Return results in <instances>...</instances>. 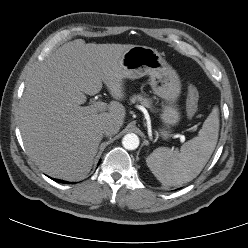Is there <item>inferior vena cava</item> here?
<instances>
[{
    "label": "inferior vena cava",
    "instance_id": "602c4592",
    "mask_svg": "<svg viewBox=\"0 0 248 248\" xmlns=\"http://www.w3.org/2000/svg\"><path fill=\"white\" fill-rule=\"evenodd\" d=\"M120 126L114 121H107L102 125V132L106 136H112L118 133Z\"/></svg>",
    "mask_w": 248,
    "mask_h": 248
}]
</instances>
